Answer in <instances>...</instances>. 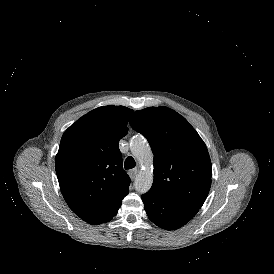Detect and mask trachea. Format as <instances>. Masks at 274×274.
Here are the masks:
<instances>
[{
    "instance_id": "obj_1",
    "label": "trachea",
    "mask_w": 274,
    "mask_h": 274,
    "mask_svg": "<svg viewBox=\"0 0 274 274\" xmlns=\"http://www.w3.org/2000/svg\"><path fill=\"white\" fill-rule=\"evenodd\" d=\"M136 165L135 160L133 157L128 156L124 162L125 169H132Z\"/></svg>"
}]
</instances>
